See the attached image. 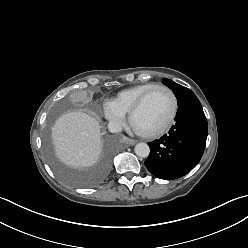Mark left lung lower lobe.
I'll return each mask as SVG.
<instances>
[{
    "instance_id": "0a47b994",
    "label": "left lung lower lobe",
    "mask_w": 248,
    "mask_h": 248,
    "mask_svg": "<svg viewBox=\"0 0 248 248\" xmlns=\"http://www.w3.org/2000/svg\"><path fill=\"white\" fill-rule=\"evenodd\" d=\"M175 120L168 134L148 143L150 154L145 160L148 171L165 180L190 172L200 161L207 139V119L193 92L178 101Z\"/></svg>"
}]
</instances>
